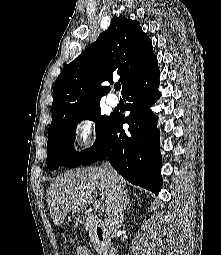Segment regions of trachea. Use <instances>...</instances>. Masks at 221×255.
I'll list each match as a JSON object with an SVG mask.
<instances>
[{
    "label": "trachea",
    "instance_id": "3493384b",
    "mask_svg": "<svg viewBox=\"0 0 221 255\" xmlns=\"http://www.w3.org/2000/svg\"><path fill=\"white\" fill-rule=\"evenodd\" d=\"M114 88H115V90H120L121 84L120 83L115 84Z\"/></svg>",
    "mask_w": 221,
    "mask_h": 255
}]
</instances>
